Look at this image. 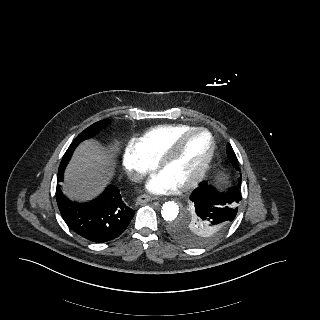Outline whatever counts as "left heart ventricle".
Listing matches in <instances>:
<instances>
[{"instance_id": "obj_1", "label": "left heart ventricle", "mask_w": 320, "mask_h": 320, "mask_svg": "<svg viewBox=\"0 0 320 320\" xmlns=\"http://www.w3.org/2000/svg\"><path fill=\"white\" fill-rule=\"evenodd\" d=\"M209 148L208 137L198 134L189 138L177 157L163 170L162 174L177 186L195 174Z\"/></svg>"}]
</instances>
